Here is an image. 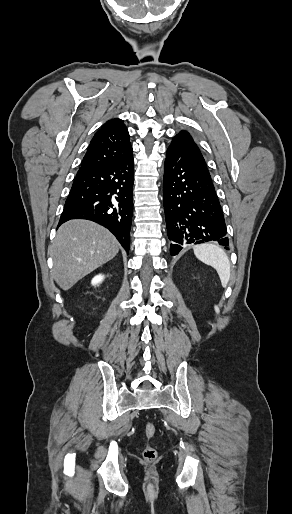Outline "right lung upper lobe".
Returning <instances> with one entry per match:
<instances>
[{
    "instance_id": "1",
    "label": "right lung upper lobe",
    "mask_w": 292,
    "mask_h": 514,
    "mask_svg": "<svg viewBox=\"0 0 292 514\" xmlns=\"http://www.w3.org/2000/svg\"><path fill=\"white\" fill-rule=\"evenodd\" d=\"M132 153L128 130L121 119H111L92 138L81 167H98L120 161Z\"/></svg>"
}]
</instances>
